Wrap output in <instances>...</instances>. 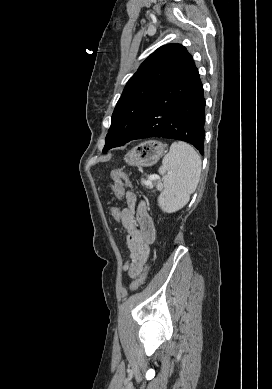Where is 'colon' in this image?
I'll return each instance as SVG.
<instances>
[{"instance_id": "1", "label": "colon", "mask_w": 272, "mask_h": 389, "mask_svg": "<svg viewBox=\"0 0 272 389\" xmlns=\"http://www.w3.org/2000/svg\"><path fill=\"white\" fill-rule=\"evenodd\" d=\"M112 179V192L117 198H121L124 194L125 186L129 185V179L127 175L120 169H114L111 171ZM111 215L116 222L121 220V209L118 206H114L111 209ZM147 276V271L144 270L143 273L135 279L132 283V290H138L145 282Z\"/></svg>"}]
</instances>
